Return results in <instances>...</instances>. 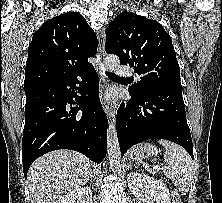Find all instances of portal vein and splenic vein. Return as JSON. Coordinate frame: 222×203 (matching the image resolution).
I'll use <instances>...</instances> for the list:
<instances>
[{
    "label": "portal vein and splenic vein",
    "instance_id": "obj_1",
    "mask_svg": "<svg viewBox=\"0 0 222 203\" xmlns=\"http://www.w3.org/2000/svg\"><path fill=\"white\" fill-rule=\"evenodd\" d=\"M158 168H159L158 165H156V166L154 167V170H153V171H156ZM148 170H150V168H148Z\"/></svg>",
    "mask_w": 222,
    "mask_h": 203
}]
</instances>
